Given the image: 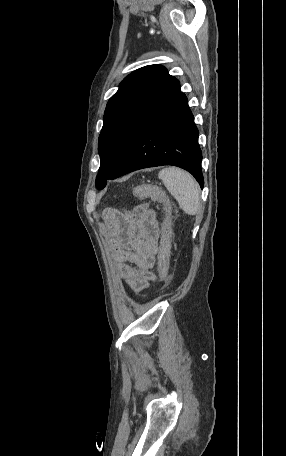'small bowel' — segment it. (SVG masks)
Segmentation results:
<instances>
[{"instance_id":"small-bowel-1","label":"small bowel","mask_w":286,"mask_h":456,"mask_svg":"<svg viewBox=\"0 0 286 456\" xmlns=\"http://www.w3.org/2000/svg\"><path fill=\"white\" fill-rule=\"evenodd\" d=\"M106 222L107 245L115 273L133 292L146 289L156 279L152 271L159 237L156 213L141 204L128 213L108 212Z\"/></svg>"}]
</instances>
